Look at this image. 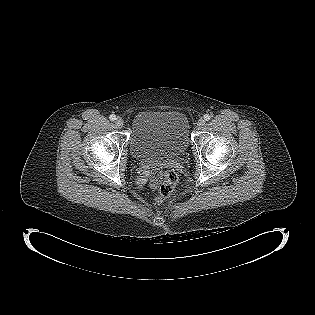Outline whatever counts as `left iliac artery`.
<instances>
[{
	"label": "left iliac artery",
	"mask_w": 315,
	"mask_h": 315,
	"mask_svg": "<svg viewBox=\"0 0 315 315\" xmlns=\"http://www.w3.org/2000/svg\"><path fill=\"white\" fill-rule=\"evenodd\" d=\"M211 116L209 114H205L204 115V120L208 121L210 120Z\"/></svg>",
	"instance_id": "1"
}]
</instances>
